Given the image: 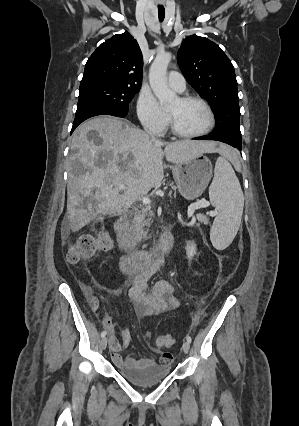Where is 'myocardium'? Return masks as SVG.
<instances>
[{"label":"myocardium","instance_id":"obj_1","mask_svg":"<svg viewBox=\"0 0 299 426\" xmlns=\"http://www.w3.org/2000/svg\"><path fill=\"white\" fill-rule=\"evenodd\" d=\"M178 99L181 102H197L199 104H201L204 109L206 110L207 114H208V125L206 126L205 129H203L202 131L196 132V133H188V132H184L182 130H180L175 122L174 116L171 112L168 111V117H169V123H170V127L172 132L182 138H198L201 136H204L206 134H208L214 127L215 125V115L214 112L211 108V106L209 105V103L204 100L203 98L196 96V95H182L180 97H178Z\"/></svg>","mask_w":299,"mask_h":426}]
</instances>
